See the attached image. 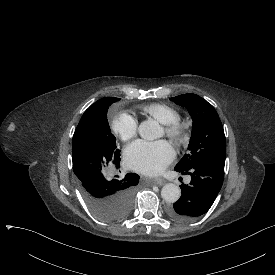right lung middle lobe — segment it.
<instances>
[{
  "instance_id": "obj_1",
  "label": "right lung middle lobe",
  "mask_w": 275,
  "mask_h": 275,
  "mask_svg": "<svg viewBox=\"0 0 275 275\" xmlns=\"http://www.w3.org/2000/svg\"><path fill=\"white\" fill-rule=\"evenodd\" d=\"M120 98L105 97L83 114L72 142L73 171L88 207L110 221L126 217L139 182L120 159L116 138L111 133L107 111Z\"/></svg>"
}]
</instances>
